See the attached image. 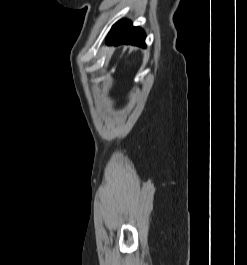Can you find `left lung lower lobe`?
Instances as JSON below:
<instances>
[{
    "label": "left lung lower lobe",
    "instance_id": "1",
    "mask_svg": "<svg viewBox=\"0 0 247 265\" xmlns=\"http://www.w3.org/2000/svg\"><path fill=\"white\" fill-rule=\"evenodd\" d=\"M107 44H131L145 47V33L139 27H133L129 20H121L113 25L109 32Z\"/></svg>",
    "mask_w": 247,
    "mask_h": 265
}]
</instances>
